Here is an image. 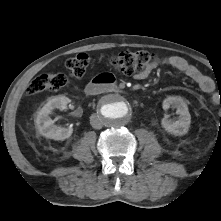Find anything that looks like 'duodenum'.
I'll list each match as a JSON object with an SVG mask.
<instances>
[{
  "instance_id": "1",
  "label": "duodenum",
  "mask_w": 221,
  "mask_h": 221,
  "mask_svg": "<svg viewBox=\"0 0 221 221\" xmlns=\"http://www.w3.org/2000/svg\"><path fill=\"white\" fill-rule=\"evenodd\" d=\"M119 88L114 84L113 80L105 75L95 77L87 84L85 92L88 96H94L104 92H115Z\"/></svg>"
}]
</instances>
